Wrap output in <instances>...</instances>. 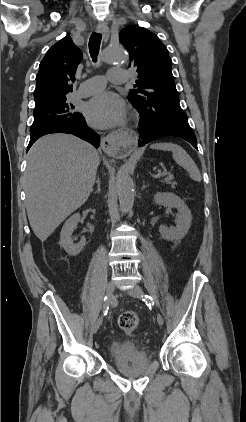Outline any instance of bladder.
I'll return each mask as SVG.
<instances>
[{"instance_id": "bladder-1", "label": "bladder", "mask_w": 246, "mask_h": 422, "mask_svg": "<svg viewBox=\"0 0 246 422\" xmlns=\"http://www.w3.org/2000/svg\"><path fill=\"white\" fill-rule=\"evenodd\" d=\"M109 355L115 362H120L125 359H147L145 349L132 341H115L109 345Z\"/></svg>"}]
</instances>
